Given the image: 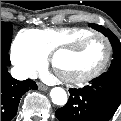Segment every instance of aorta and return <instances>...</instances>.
I'll return each mask as SVG.
<instances>
[{
    "instance_id": "762f6f07",
    "label": "aorta",
    "mask_w": 121,
    "mask_h": 121,
    "mask_svg": "<svg viewBox=\"0 0 121 121\" xmlns=\"http://www.w3.org/2000/svg\"><path fill=\"white\" fill-rule=\"evenodd\" d=\"M51 99L54 104L63 106L67 102V94L64 89L57 87L54 88L50 93Z\"/></svg>"
}]
</instances>
